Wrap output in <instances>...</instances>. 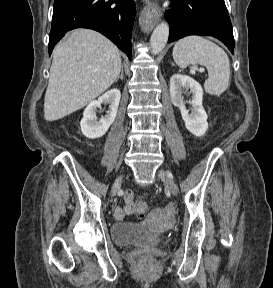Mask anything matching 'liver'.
<instances>
[{
  "mask_svg": "<svg viewBox=\"0 0 273 288\" xmlns=\"http://www.w3.org/2000/svg\"><path fill=\"white\" fill-rule=\"evenodd\" d=\"M119 49L105 36L77 29L54 49L44 118L56 121L85 107L119 77Z\"/></svg>",
  "mask_w": 273,
  "mask_h": 288,
  "instance_id": "liver-1",
  "label": "liver"
}]
</instances>
